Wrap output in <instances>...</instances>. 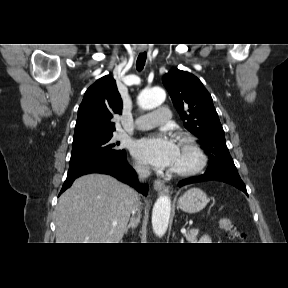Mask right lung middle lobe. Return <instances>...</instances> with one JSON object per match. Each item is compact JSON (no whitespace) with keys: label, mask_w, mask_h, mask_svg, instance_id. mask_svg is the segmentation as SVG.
<instances>
[{"label":"right lung middle lobe","mask_w":288,"mask_h":288,"mask_svg":"<svg viewBox=\"0 0 288 288\" xmlns=\"http://www.w3.org/2000/svg\"><path fill=\"white\" fill-rule=\"evenodd\" d=\"M113 135L96 138L82 143L74 144L72 147L70 162H77L89 157L105 155L111 157H122L125 150L118 149L119 144L111 143Z\"/></svg>","instance_id":"right-lung-middle-lobe-1"}]
</instances>
